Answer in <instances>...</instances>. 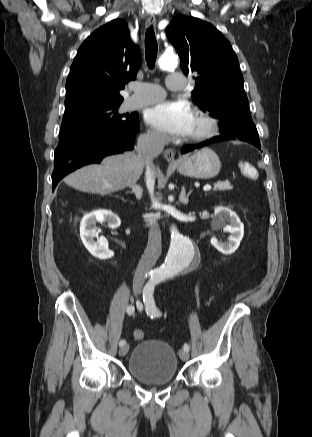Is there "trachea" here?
<instances>
[{"label": "trachea", "instance_id": "3493384b", "mask_svg": "<svg viewBox=\"0 0 312 437\" xmlns=\"http://www.w3.org/2000/svg\"><path fill=\"white\" fill-rule=\"evenodd\" d=\"M158 45L152 26L149 27L145 34V59L150 69L154 68L157 57Z\"/></svg>", "mask_w": 312, "mask_h": 437}]
</instances>
